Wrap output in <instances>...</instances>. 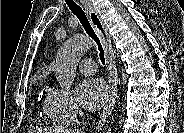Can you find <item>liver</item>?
<instances>
[{
  "instance_id": "6515ba94",
  "label": "liver",
  "mask_w": 184,
  "mask_h": 133,
  "mask_svg": "<svg viewBox=\"0 0 184 133\" xmlns=\"http://www.w3.org/2000/svg\"><path fill=\"white\" fill-rule=\"evenodd\" d=\"M35 133H72L70 129L67 128H39L33 130Z\"/></svg>"
}]
</instances>
